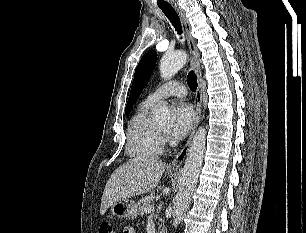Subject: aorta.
Masks as SVG:
<instances>
[{
	"label": "aorta",
	"instance_id": "762f6f07",
	"mask_svg": "<svg viewBox=\"0 0 306 233\" xmlns=\"http://www.w3.org/2000/svg\"><path fill=\"white\" fill-rule=\"evenodd\" d=\"M186 61L187 55L183 51L164 54L160 61L161 77L164 80L171 79L184 66ZM154 119L159 126H166L172 122L171 112L164 103L161 104L159 109L155 112ZM206 134L205 128L199 127L188 151L182 176L180 178L179 190L174 200V227L180 224L195 190L204 157Z\"/></svg>",
	"mask_w": 306,
	"mask_h": 233
}]
</instances>
